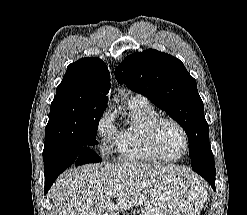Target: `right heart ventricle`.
<instances>
[{"label":"right heart ventricle","instance_id":"1","mask_svg":"<svg viewBox=\"0 0 247 215\" xmlns=\"http://www.w3.org/2000/svg\"><path fill=\"white\" fill-rule=\"evenodd\" d=\"M128 121L116 129L113 139L115 152L122 161L132 163H150L160 160L151 151L146 128L159 117L150 104L129 101L127 104Z\"/></svg>","mask_w":247,"mask_h":215}]
</instances>
